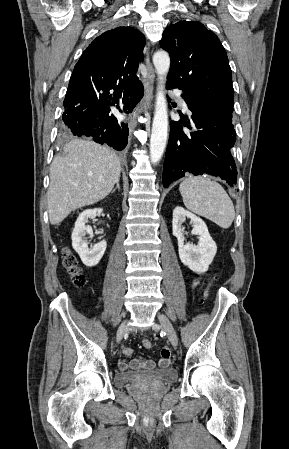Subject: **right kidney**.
<instances>
[{"label": "right kidney", "instance_id": "right-kidney-1", "mask_svg": "<svg viewBox=\"0 0 289 449\" xmlns=\"http://www.w3.org/2000/svg\"><path fill=\"white\" fill-rule=\"evenodd\" d=\"M101 211L102 209L95 208L80 213L75 222V227L71 236L74 250L79 254L82 262L88 267L96 266L100 262L107 247L106 241L103 240L95 244L93 248H88L87 240L85 238L86 234L90 237L93 236L92 228L86 225L88 219L95 218Z\"/></svg>", "mask_w": 289, "mask_h": 449}]
</instances>
